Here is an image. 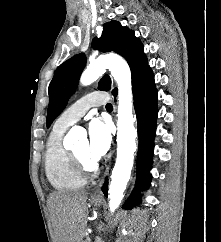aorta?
<instances>
[{
	"label": "aorta",
	"instance_id": "obj_1",
	"mask_svg": "<svg viewBox=\"0 0 221 242\" xmlns=\"http://www.w3.org/2000/svg\"><path fill=\"white\" fill-rule=\"evenodd\" d=\"M106 69L118 86V110H117V159L111 175L109 187V207L114 211L121 203L131 170L136 151V130L132 114V85L131 71L127 62L118 55H105L98 57L83 71L80 84L90 85L101 77ZM77 138V130L72 129L67 135V140L74 143Z\"/></svg>",
	"mask_w": 221,
	"mask_h": 242
}]
</instances>
